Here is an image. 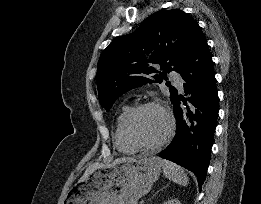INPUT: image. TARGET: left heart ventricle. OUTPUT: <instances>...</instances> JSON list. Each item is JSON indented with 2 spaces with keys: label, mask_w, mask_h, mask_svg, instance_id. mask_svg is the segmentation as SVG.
Here are the masks:
<instances>
[{
  "label": "left heart ventricle",
  "mask_w": 261,
  "mask_h": 204,
  "mask_svg": "<svg viewBox=\"0 0 261 204\" xmlns=\"http://www.w3.org/2000/svg\"><path fill=\"white\" fill-rule=\"evenodd\" d=\"M166 119L156 108H147L138 112L129 124V132L134 140L141 144L158 141L166 131Z\"/></svg>",
  "instance_id": "left-heart-ventricle-1"
}]
</instances>
